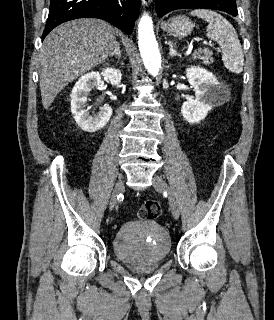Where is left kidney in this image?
Returning <instances> with one entry per match:
<instances>
[{"label":"left kidney","instance_id":"5707ae66","mask_svg":"<svg viewBox=\"0 0 274 320\" xmlns=\"http://www.w3.org/2000/svg\"><path fill=\"white\" fill-rule=\"evenodd\" d=\"M186 78L195 92V100L183 102L181 114L189 124H200L214 106L224 104V92L212 72L199 66L187 68Z\"/></svg>","mask_w":274,"mask_h":320}]
</instances>
